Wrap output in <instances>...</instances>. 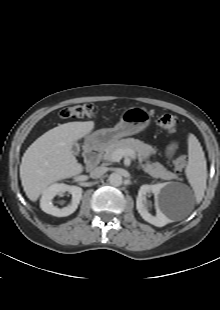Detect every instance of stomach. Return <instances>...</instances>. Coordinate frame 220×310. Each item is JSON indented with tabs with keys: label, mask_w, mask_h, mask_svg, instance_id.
Returning a JSON list of instances; mask_svg holds the SVG:
<instances>
[{
	"label": "stomach",
	"mask_w": 220,
	"mask_h": 310,
	"mask_svg": "<svg viewBox=\"0 0 220 310\" xmlns=\"http://www.w3.org/2000/svg\"><path fill=\"white\" fill-rule=\"evenodd\" d=\"M150 121L151 115L145 108L131 107L122 113L119 123L113 128L97 130L89 135L86 141L91 146H106L122 137L143 131Z\"/></svg>",
	"instance_id": "1"
}]
</instances>
